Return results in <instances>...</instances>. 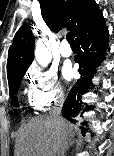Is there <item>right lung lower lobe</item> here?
<instances>
[{"instance_id":"right-lung-lower-lobe-1","label":"right lung lower lobe","mask_w":114,"mask_h":156,"mask_svg":"<svg viewBox=\"0 0 114 156\" xmlns=\"http://www.w3.org/2000/svg\"><path fill=\"white\" fill-rule=\"evenodd\" d=\"M75 37L79 46V53L75 57V61L79 63L78 72L81 74V78L69 92L62 108V115L71 122L81 123L82 94L86 93L92 85L94 63L102 61L106 55L109 33L102 12L98 10L75 34ZM82 132L85 133L86 129H83Z\"/></svg>"}]
</instances>
